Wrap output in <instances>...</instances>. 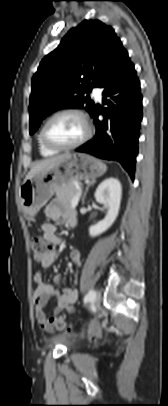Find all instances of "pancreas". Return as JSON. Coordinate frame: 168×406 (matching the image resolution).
I'll list each match as a JSON object with an SVG mask.
<instances>
[{
    "label": "pancreas",
    "mask_w": 168,
    "mask_h": 406,
    "mask_svg": "<svg viewBox=\"0 0 168 406\" xmlns=\"http://www.w3.org/2000/svg\"><path fill=\"white\" fill-rule=\"evenodd\" d=\"M79 189L76 185L72 182L63 188H58L55 190L57 200L71 205V202L75 195L78 193Z\"/></svg>",
    "instance_id": "1"
}]
</instances>
